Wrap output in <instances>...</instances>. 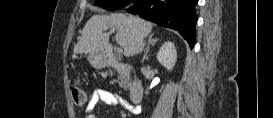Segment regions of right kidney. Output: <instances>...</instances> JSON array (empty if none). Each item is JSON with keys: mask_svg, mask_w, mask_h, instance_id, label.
Returning a JSON list of instances; mask_svg holds the SVG:
<instances>
[{"mask_svg": "<svg viewBox=\"0 0 273 118\" xmlns=\"http://www.w3.org/2000/svg\"><path fill=\"white\" fill-rule=\"evenodd\" d=\"M157 60L171 71L177 60V51L174 43L170 41L165 42L157 53ZM146 94H148V91H146Z\"/></svg>", "mask_w": 273, "mask_h": 118, "instance_id": "obj_1", "label": "right kidney"}]
</instances>
